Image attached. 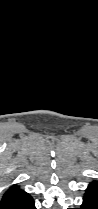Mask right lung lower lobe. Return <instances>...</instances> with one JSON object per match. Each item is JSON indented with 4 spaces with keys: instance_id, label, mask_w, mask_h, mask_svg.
Returning a JSON list of instances; mask_svg holds the SVG:
<instances>
[{
    "instance_id": "98d812e1",
    "label": "right lung lower lobe",
    "mask_w": 98,
    "mask_h": 209,
    "mask_svg": "<svg viewBox=\"0 0 98 209\" xmlns=\"http://www.w3.org/2000/svg\"><path fill=\"white\" fill-rule=\"evenodd\" d=\"M0 209H36V207L31 195L18 188L1 198Z\"/></svg>"
}]
</instances>
